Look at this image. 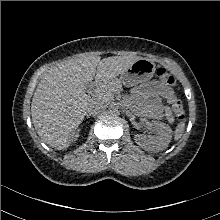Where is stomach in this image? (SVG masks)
Instances as JSON below:
<instances>
[{
    "label": "stomach",
    "instance_id": "0dacf381",
    "mask_svg": "<svg viewBox=\"0 0 220 220\" xmlns=\"http://www.w3.org/2000/svg\"><path fill=\"white\" fill-rule=\"evenodd\" d=\"M155 70L156 66L154 62L142 58L135 61L123 74H121L120 79L126 86L145 83L154 76Z\"/></svg>",
    "mask_w": 220,
    "mask_h": 220
}]
</instances>
